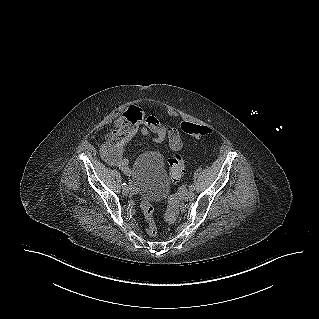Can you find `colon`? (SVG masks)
Masks as SVG:
<instances>
[{
    "mask_svg": "<svg viewBox=\"0 0 319 319\" xmlns=\"http://www.w3.org/2000/svg\"><path fill=\"white\" fill-rule=\"evenodd\" d=\"M175 127L180 133L187 135L189 138L208 142L212 136V131L206 124L198 125L195 121L188 122L185 118H179L175 122ZM169 178L172 182H179L185 174V165L182 157L178 154H173L166 161ZM141 209L143 212L144 228L148 235L155 236L157 233V226L154 219V208L152 204L144 199L141 202Z\"/></svg>",
    "mask_w": 319,
    "mask_h": 319,
    "instance_id": "colon-1",
    "label": "colon"
}]
</instances>
